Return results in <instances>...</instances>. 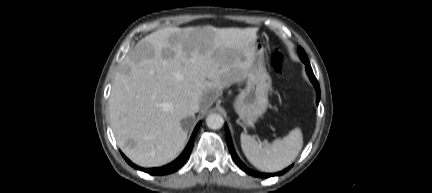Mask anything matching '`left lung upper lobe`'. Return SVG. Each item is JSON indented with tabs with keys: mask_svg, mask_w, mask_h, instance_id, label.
I'll return each mask as SVG.
<instances>
[{
	"mask_svg": "<svg viewBox=\"0 0 432 193\" xmlns=\"http://www.w3.org/2000/svg\"><path fill=\"white\" fill-rule=\"evenodd\" d=\"M298 53H299V56L301 58H307V55H306L305 51L303 50V48L298 47Z\"/></svg>",
	"mask_w": 432,
	"mask_h": 193,
	"instance_id": "1",
	"label": "left lung upper lobe"
}]
</instances>
